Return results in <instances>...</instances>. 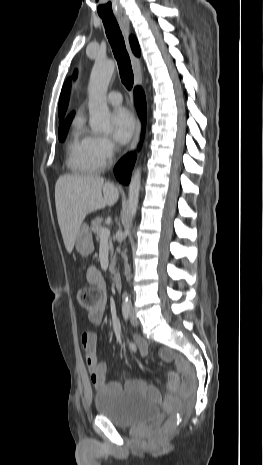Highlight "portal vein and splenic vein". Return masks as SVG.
Masks as SVG:
<instances>
[{"label": "portal vein and splenic vein", "instance_id": "portal-vein-and-splenic-vein-1", "mask_svg": "<svg viewBox=\"0 0 263 465\" xmlns=\"http://www.w3.org/2000/svg\"><path fill=\"white\" fill-rule=\"evenodd\" d=\"M109 236H110V230L106 227H103L100 231V238L106 239V238H109Z\"/></svg>", "mask_w": 263, "mask_h": 465}]
</instances>
